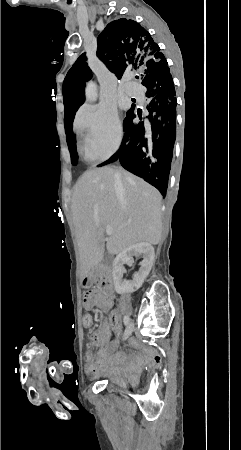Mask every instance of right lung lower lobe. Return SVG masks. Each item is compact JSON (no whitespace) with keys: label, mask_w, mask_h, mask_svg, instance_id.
I'll return each mask as SVG.
<instances>
[{"label":"right lung lower lobe","mask_w":241,"mask_h":450,"mask_svg":"<svg viewBox=\"0 0 241 450\" xmlns=\"http://www.w3.org/2000/svg\"><path fill=\"white\" fill-rule=\"evenodd\" d=\"M146 95L149 124L135 125L134 111L123 121L124 137L120 150L99 166L119 160L133 174L156 187L165 197L176 139V94L168 63L145 69L141 75ZM75 112L65 115L69 147H75L72 122Z\"/></svg>","instance_id":"98d812e1"}]
</instances>
